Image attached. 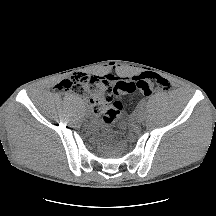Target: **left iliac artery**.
Returning a JSON list of instances; mask_svg holds the SVG:
<instances>
[{"label": "left iliac artery", "mask_w": 216, "mask_h": 216, "mask_svg": "<svg viewBox=\"0 0 216 216\" xmlns=\"http://www.w3.org/2000/svg\"><path fill=\"white\" fill-rule=\"evenodd\" d=\"M145 104H146V103H145L144 101H143V102H141V106H145Z\"/></svg>", "instance_id": "left-iliac-artery-1"}]
</instances>
